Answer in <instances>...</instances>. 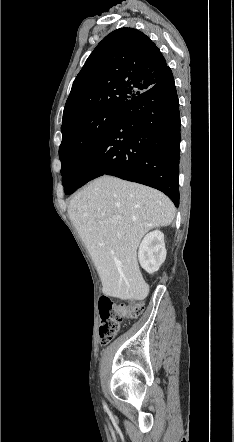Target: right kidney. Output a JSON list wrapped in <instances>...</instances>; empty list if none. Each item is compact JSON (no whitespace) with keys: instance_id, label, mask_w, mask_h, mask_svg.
Listing matches in <instances>:
<instances>
[{"instance_id":"right-kidney-1","label":"right kidney","mask_w":234,"mask_h":442,"mask_svg":"<svg viewBox=\"0 0 234 442\" xmlns=\"http://www.w3.org/2000/svg\"><path fill=\"white\" fill-rule=\"evenodd\" d=\"M166 254L164 234L159 230H155L143 238L139 246L138 258L141 267L148 273L153 274L165 261Z\"/></svg>"}]
</instances>
